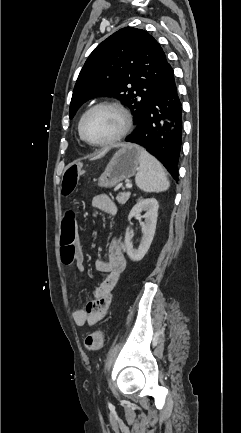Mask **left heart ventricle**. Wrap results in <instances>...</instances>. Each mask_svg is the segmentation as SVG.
<instances>
[{"instance_id": "obj_1", "label": "left heart ventricle", "mask_w": 241, "mask_h": 433, "mask_svg": "<svg viewBox=\"0 0 241 433\" xmlns=\"http://www.w3.org/2000/svg\"><path fill=\"white\" fill-rule=\"evenodd\" d=\"M122 127V118L110 108H100L88 115L83 125L84 136L91 142H102L115 136Z\"/></svg>"}]
</instances>
